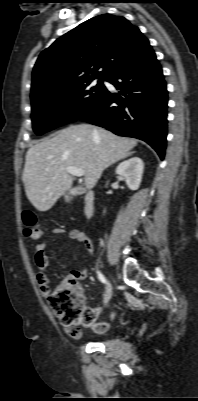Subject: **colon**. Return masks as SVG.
<instances>
[{"label": "colon", "mask_w": 198, "mask_h": 401, "mask_svg": "<svg viewBox=\"0 0 198 401\" xmlns=\"http://www.w3.org/2000/svg\"><path fill=\"white\" fill-rule=\"evenodd\" d=\"M22 221L26 237L33 241L42 237L43 232L35 213L24 212ZM48 301L53 313L68 328L72 336H78L80 326L92 327L95 324L96 315L93 309L85 305L83 295L71 277L51 293L49 291Z\"/></svg>", "instance_id": "colon-1"}]
</instances>
